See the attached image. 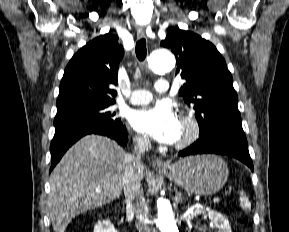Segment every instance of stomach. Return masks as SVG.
Segmentation results:
<instances>
[{
    "label": "stomach",
    "instance_id": "1",
    "mask_svg": "<svg viewBox=\"0 0 289 232\" xmlns=\"http://www.w3.org/2000/svg\"><path fill=\"white\" fill-rule=\"evenodd\" d=\"M161 174L189 193L212 195L227 181L228 167L216 155L190 156L180 159Z\"/></svg>",
    "mask_w": 289,
    "mask_h": 232
}]
</instances>
